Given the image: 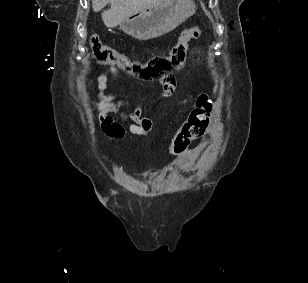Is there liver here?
Instances as JSON below:
<instances>
[{
  "label": "liver",
  "mask_w": 308,
  "mask_h": 283,
  "mask_svg": "<svg viewBox=\"0 0 308 283\" xmlns=\"http://www.w3.org/2000/svg\"><path fill=\"white\" fill-rule=\"evenodd\" d=\"M161 1L163 0H92V8L94 11H100L108 3H111V8L103 10L101 16L104 24L113 28L119 25L126 17Z\"/></svg>",
  "instance_id": "obj_1"
}]
</instances>
